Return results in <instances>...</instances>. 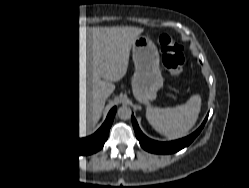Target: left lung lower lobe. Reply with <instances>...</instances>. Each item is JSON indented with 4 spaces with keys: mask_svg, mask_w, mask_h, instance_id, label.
Segmentation results:
<instances>
[{
    "mask_svg": "<svg viewBox=\"0 0 249 188\" xmlns=\"http://www.w3.org/2000/svg\"><path fill=\"white\" fill-rule=\"evenodd\" d=\"M207 118H208V116L206 117V119L204 120L202 125L193 134H191L185 138H182V139H179L176 141H171V142H158V141H154V140H151L148 137H146L141 132V130L137 124V121L133 115H132V123H133V127L135 130V135H136L137 139L139 140L140 145L145 150H147L151 153H157V154H170V153L177 152V151L181 150L182 148L188 146L196 138V136L200 133V131L204 127V124H205Z\"/></svg>",
    "mask_w": 249,
    "mask_h": 188,
    "instance_id": "0a47b994",
    "label": "left lung lower lobe"
}]
</instances>
